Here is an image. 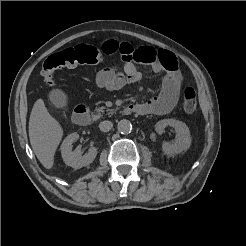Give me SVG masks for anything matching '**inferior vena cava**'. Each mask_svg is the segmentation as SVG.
<instances>
[{
  "instance_id": "1",
  "label": "inferior vena cava",
  "mask_w": 246,
  "mask_h": 246,
  "mask_svg": "<svg viewBox=\"0 0 246 246\" xmlns=\"http://www.w3.org/2000/svg\"><path fill=\"white\" fill-rule=\"evenodd\" d=\"M112 127H113V123L111 121H102L99 124L100 130L103 132H108L109 130H111Z\"/></svg>"
}]
</instances>
